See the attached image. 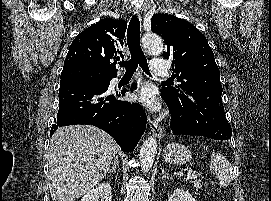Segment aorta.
Instances as JSON below:
<instances>
[{"label": "aorta", "mask_w": 271, "mask_h": 201, "mask_svg": "<svg viewBox=\"0 0 271 201\" xmlns=\"http://www.w3.org/2000/svg\"><path fill=\"white\" fill-rule=\"evenodd\" d=\"M144 49L148 53H161L163 42L160 36L147 33L142 38ZM157 154V141L154 137H148L142 144L140 150V162L142 170L147 172L152 167Z\"/></svg>", "instance_id": "1"}]
</instances>
